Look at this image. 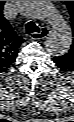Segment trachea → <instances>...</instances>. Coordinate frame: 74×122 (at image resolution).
<instances>
[{"instance_id":"trachea-1","label":"trachea","mask_w":74,"mask_h":122,"mask_svg":"<svg viewBox=\"0 0 74 122\" xmlns=\"http://www.w3.org/2000/svg\"><path fill=\"white\" fill-rule=\"evenodd\" d=\"M38 32H40V29L34 22L30 21L26 24V33L27 34L38 33Z\"/></svg>"}]
</instances>
